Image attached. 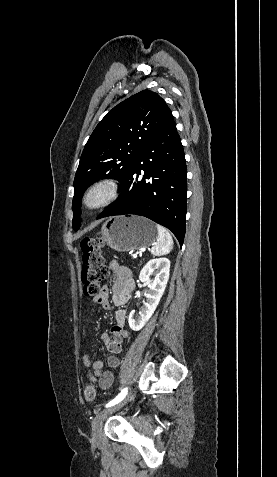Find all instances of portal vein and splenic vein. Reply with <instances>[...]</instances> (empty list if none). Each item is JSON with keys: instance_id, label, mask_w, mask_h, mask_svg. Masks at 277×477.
Segmentation results:
<instances>
[{"instance_id": "obj_1", "label": "portal vein and splenic vein", "mask_w": 277, "mask_h": 477, "mask_svg": "<svg viewBox=\"0 0 277 477\" xmlns=\"http://www.w3.org/2000/svg\"><path fill=\"white\" fill-rule=\"evenodd\" d=\"M133 258H137V254H133Z\"/></svg>"}]
</instances>
